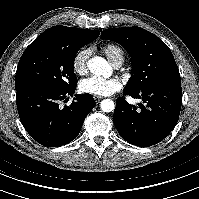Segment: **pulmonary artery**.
<instances>
[{
  "mask_svg": "<svg viewBox=\"0 0 199 199\" xmlns=\"http://www.w3.org/2000/svg\"><path fill=\"white\" fill-rule=\"evenodd\" d=\"M122 65V63H116L114 66L116 67V68H118V67H120Z\"/></svg>",
  "mask_w": 199,
  "mask_h": 199,
  "instance_id": "pulmonary-artery-1",
  "label": "pulmonary artery"
}]
</instances>
